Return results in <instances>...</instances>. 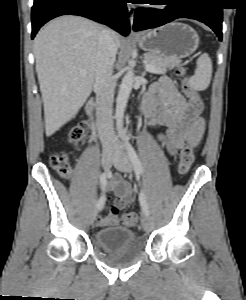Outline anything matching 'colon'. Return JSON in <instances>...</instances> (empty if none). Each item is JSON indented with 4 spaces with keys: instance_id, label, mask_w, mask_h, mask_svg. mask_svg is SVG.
Instances as JSON below:
<instances>
[{
    "instance_id": "obj_1",
    "label": "colon",
    "mask_w": 246,
    "mask_h": 300,
    "mask_svg": "<svg viewBox=\"0 0 246 300\" xmlns=\"http://www.w3.org/2000/svg\"><path fill=\"white\" fill-rule=\"evenodd\" d=\"M177 75L182 78V90L186 97L192 101L193 104H200V98L196 90L191 86L188 78L186 77L185 69L178 68ZM87 126L85 124H80L75 127L70 135V140L74 144H80L84 141L86 137ZM195 140H190L185 147L181 150L179 163L177 171L180 175H185L191 168L195 159ZM50 166L57 171L60 175L70 176L72 173V168L66 156L57 152L50 156L49 159ZM111 214L113 216H118L119 208L113 207L111 209ZM121 222L124 226L131 227L137 224L138 216L135 213H126L122 215Z\"/></svg>"
}]
</instances>
